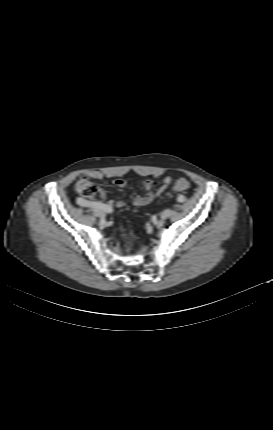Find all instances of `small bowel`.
I'll use <instances>...</instances> for the list:
<instances>
[{"instance_id":"c3829d8e","label":"small bowel","mask_w":273,"mask_h":430,"mask_svg":"<svg viewBox=\"0 0 273 430\" xmlns=\"http://www.w3.org/2000/svg\"><path fill=\"white\" fill-rule=\"evenodd\" d=\"M86 175L92 179H102L104 176V174L98 170L89 171V172H87ZM181 179H183V178H180L178 180H181ZM171 183H172V178L170 176L164 177L162 184L160 186H158L157 181H155L153 179L147 180L144 184L145 189H146V193L136 195L133 198V204L135 206L148 205L149 203L154 201L156 198L161 196L163 194V192L167 190V188L170 186ZM115 185L119 188H124L126 186V181L124 179H117V180H115ZM100 196L102 198L106 197V191L104 189L100 190ZM98 203H101V202L87 200V199H83V198H80V200H77V204L82 206V207H92L94 204H98ZM125 204L126 203L124 200H118L116 202H114L113 200H109L106 203V205H108L111 208L114 206L117 208H123L125 206Z\"/></svg>"}]
</instances>
